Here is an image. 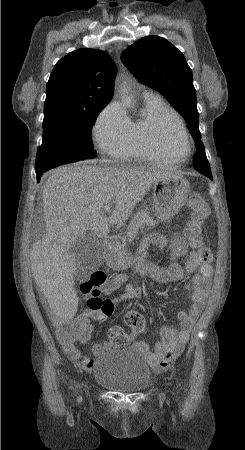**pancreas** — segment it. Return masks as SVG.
I'll return each instance as SVG.
<instances>
[{
	"label": "pancreas",
	"instance_id": "1",
	"mask_svg": "<svg viewBox=\"0 0 245 450\" xmlns=\"http://www.w3.org/2000/svg\"><path fill=\"white\" fill-rule=\"evenodd\" d=\"M156 224L157 222L146 211H138L132 217L127 228L128 241H132L136 237L139 229H143L145 226L154 227Z\"/></svg>",
	"mask_w": 245,
	"mask_h": 450
}]
</instances>
